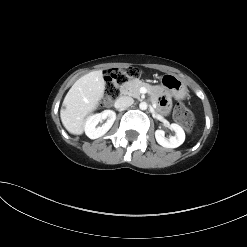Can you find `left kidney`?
I'll use <instances>...</instances> for the list:
<instances>
[{
	"label": "left kidney",
	"mask_w": 247,
	"mask_h": 247,
	"mask_svg": "<svg viewBox=\"0 0 247 247\" xmlns=\"http://www.w3.org/2000/svg\"><path fill=\"white\" fill-rule=\"evenodd\" d=\"M169 128L173 130L176 134L175 136H170L169 139L165 138V133L163 130L155 131V138L158 144L166 148H177L185 141V132L181 126L172 123Z\"/></svg>",
	"instance_id": "5707ae66"
}]
</instances>
